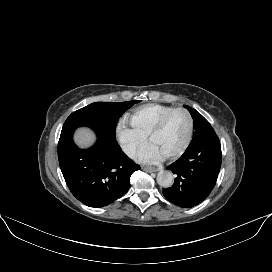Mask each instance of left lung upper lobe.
<instances>
[{
    "label": "left lung upper lobe",
    "instance_id": "left-lung-upper-lobe-1",
    "mask_svg": "<svg viewBox=\"0 0 272 272\" xmlns=\"http://www.w3.org/2000/svg\"><path fill=\"white\" fill-rule=\"evenodd\" d=\"M184 107L188 109V111L192 115L193 125L195 129L192 141L189 146H193L211 137L216 136V133L210 123L199 112L187 105H184Z\"/></svg>",
    "mask_w": 272,
    "mask_h": 272
}]
</instances>
